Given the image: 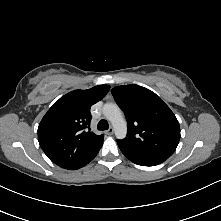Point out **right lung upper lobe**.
<instances>
[{"instance_id": "right-lung-upper-lobe-1", "label": "right lung upper lobe", "mask_w": 221, "mask_h": 221, "mask_svg": "<svg viewBox=\"0 0 221 221\" xmlns=\"http://www.w3.org/2000/svg\"><path fill=\"white\" fill-rule=\"evenodd\" d=\"M109 85L74 90L48 110L38 127V141L58 166L76 170L87 163L103 144V135L90 131V107L103 99Z\"/></svg>"}]
</instances>
